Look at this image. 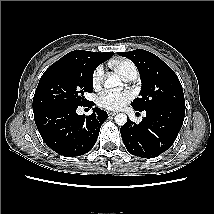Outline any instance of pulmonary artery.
Here are the masks:
<instances>
[{"label": "pulmonary artery", "instance_id": "pulmonary-artery-1", "mask_svg": "<svg viewBox=\"0 0 214 214\" xmlns=\"http://www.w3.org/2000/svg\"><path fill=\"white\" fill-rule=\"evenodd\" d=\"M137 76V70L136 68H132L131 70H129L125 77H124V80L125 81H133Z\"/></svg>", "mask_w": 214, "mask_h": 214}]
</instances>
